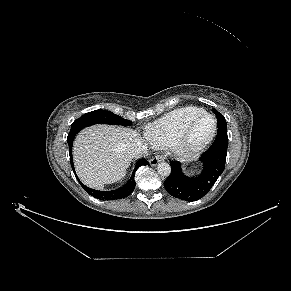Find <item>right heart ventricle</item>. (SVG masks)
<instances>
[{
  "instance_id": "right-heart-ventricle-1",
  "label": "right heart ventricle",
  "mask_w": 291,
  "mask_h": 291,
  "mask_svg": "<svg viewBox=\"0 0 291 291\" xmlns=\"http://www.w3.org/2000/svg\"><path fill=\"white\" fill-rule=\"evenodd\" d=\"M203 113V109L194 106L175 109L148 125L145 136L156 147L170 146L186 126Z\"/></svg>"
}]
</instances>
